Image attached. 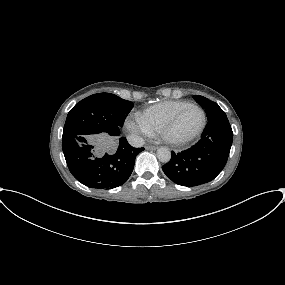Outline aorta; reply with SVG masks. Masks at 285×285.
Listing matches in <instances>:
<instances>
[{
	"mask_svg": "<svg viewBox=\"0 0 285 285\" xmlns=\"http://www.w3.org/2000/svg\"><path fill=\"white\" fill-rule=\"evenodd\" d=\"M157 158L163 163H167L171 159V152L166 147H161L157 150Z\"/></svg>",
	"mask_w": 285,
	"mask_h": 285,
	"instance_id": "aorta-1",
	"label": "aorta"
}]
</instances>
